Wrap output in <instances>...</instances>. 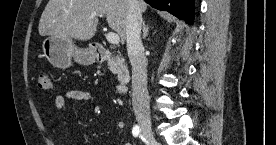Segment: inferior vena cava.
I'll use <instances>...</instances> for the list:
<instances>
[{
  "label": "inferior vena cava",
  "mask_w": 276,
  "mask_h": 145,
  "mask_svg": "<svg viewBox=\"0 0 276 145\" xmlns=\"http://www.w3.org/2000/svg\"><path fill=\"white\" fill-rule=\"evenodd\" d=\"M127 52L132 65V105L136 116L150 115L147 59L141 40L142 15L138 0H127Z\"/></svg>",
  "instance_id": "obj_1"
}]
</instances>
